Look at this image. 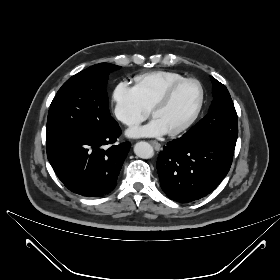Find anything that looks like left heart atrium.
<instances>
[{
  "label": "left heart atrium",
  "instance_id": "1",
  "mask_svg": "<svg viewBox=\"0 0 280 280\" xmlns=\"http://www.w3.org/2000/svg\"><path fill=\"white\" fill-rule=\"evenodd\" d=\"M164 134H166V130L156 119H153L145 126L134 127L126 131V135L131 138L158 137Z\"/></svg>",
  "mask_w": 280,
  "mask_h": 280
}]
</instances>
